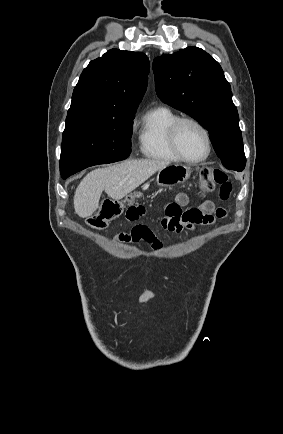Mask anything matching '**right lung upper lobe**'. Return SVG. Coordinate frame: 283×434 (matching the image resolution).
<instances>
[{"label":"right lung upper lobe","instance_id":"obj_1","mask_svg":"<svg viewBox=\"0 0 283 434\" xmlns=\"http://www.w3.org/2000/svg\"><path fill=\"white\" fill-rule=\"evenodd\" d=\"M150 63L141 52L111 49L89 63L74 88L66 120L135 115Z\"/></svg>","mask_w":283,"mask_h":434}]
</instances>
